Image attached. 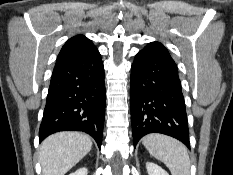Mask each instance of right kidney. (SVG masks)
<instances>
[{
  "label": "right kidney",
  "instance_id": "1",
  "mask_svg": "<svg viewBox=\"0 0 233 175\" xmlns=\"http://www.w3.org/2000/svg\"><path fill=\"white\" fill-rule=\"evenodd\" d=\"M88 170L87 168H80L77 171H75L74 173H71L69 175H87Z\"/></svg>",
  "mask_w": 233,
  "mask_h": 175
}]
</instances>
